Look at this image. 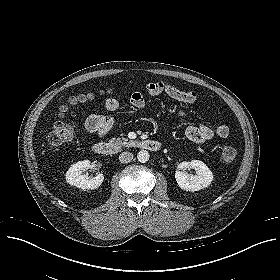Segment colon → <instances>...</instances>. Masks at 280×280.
<instances>
[{
  "label": "colon",
  "mask_w": 280,
  "mask_h": 280,
  "mask_svg": "<svg viewBox=\"0 0 280 280\" xmlns=\"http://www.w3.org/2000/svg\"><path fill=\"white\" fill-rule=\"evenodd\" d=\"M93 97L91 93H82L69 98V100L60 107L59 116L60 120L55 122L48 136V144L51 148H56L64 143L70 141L73 138V129L70 124L65 120V116L71 106L77 105L79 103H84ZM91 129L95 130L94 126ZM237 157V150L232 145L225 146L221 151V158L226 163L233 162Z\"/></svg>",
  "instance_id": "5ec220e1"
}]
</instances>
